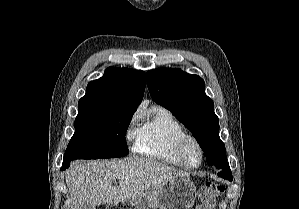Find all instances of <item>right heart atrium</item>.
<instances>
[{
	"label": "right heart atrium",
	"instance_id": "right-heart-atrium-1",
	"mask_svg": "<svg viewBox=\"0 0 299 209\" xmlns=\"http://www.w3.org/2000/svg\"><path fill=\"white\" fill-rule=\"evenodd\" d=\"M137 122V116L133 115L130 119L128 129L125 133V138L128 142L132 141L136 136V130L134 129Z\"/></svg>",
	"mask_w": 299,
	"mask_h": 209
}]
</instances>
